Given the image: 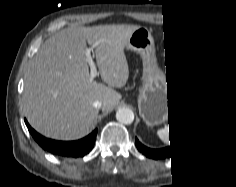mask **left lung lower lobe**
Returning a JSON list of instances; mask_svg holds the SVG:
<instances>
[{"instance_id": "left-lung-lower-lobe-1", "label": "left lung lower lobe", "mask_w": 236, "mask_h": 187, "mask_svg": "<svg viewBox=\"0 0 236 187\" xmlns=\"http://www.w3.org/2000/svg\"><path fill=\"white\" fill-rule=\"evenodd\" d=\"M199 134L191 137L190 139L177 143L170 144L169 147H165L162 149H150L139 142L136 138V146L140 152L145 154L149 158L153 159H165V158H173L177 155H180L186 151H188L198 139Z\"/></svg>"}]
</instances>
